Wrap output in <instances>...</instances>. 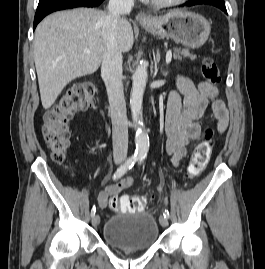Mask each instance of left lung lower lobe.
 Returning a JSON list of instances; mask_svg holds the SVG:
<instances>
[{"instance_id": "1", "label": "left lung lower lobe", "mask_w": 265, "mask_h": 269, "mask_svg": "<svg viewBox=\"0 0 265 269\" xmlns=\"http://www.w3.org/2000/svg\"><path fill=\"white\" fill-rule=\"evenodd\" d=\"M198 4H208L213 5L217 8H220L222 11H224L227 14V10L225 7L224 0H191L189 3H187V6H194Z\"/></svg>"}]
</instances>
